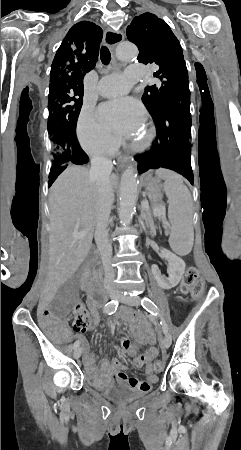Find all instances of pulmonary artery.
<instances>
[{"mask_svg":"<svg viewBox=\"0 0 241 450\" xmlns=\"http://www.w3.org/2000/svg\"><path fill=\"white\" fill-rule=\"evenodd\" d=\"M125 78L121 74H99L98 82L103 83L98 93L104 97L105 102H118L119 97L130 90L128 78H146L147 66L145 64H128L124 71Z\"/></svg>","mask_w":241,"mask_h":450,"instance_id":"obj_1","label":"pulmonary artery"}]
</instances>
